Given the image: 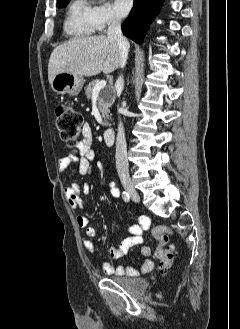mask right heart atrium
<instances>
[{
  "mask_svg": "<svg viewBox=\"0 0 240 329\" xmlns=\"http://www.w3.org/2000/svg\"><path fill=\"white\" fill-rule=\"evenodd\" d=\"M92 20L95 29L99 32L105 31L109 26L119 23V17L113 12L107 3L95 4L92 7Z\"/></svg>",
  "mask_w": 240,
  "mask_h": 329,
  "instance_id": "d8ad5b80",
  "label": "right heart atrium"
}]
</instances>
